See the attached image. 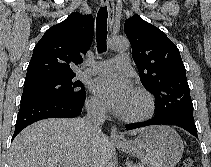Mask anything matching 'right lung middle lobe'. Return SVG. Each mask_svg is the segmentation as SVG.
Wrapping results in <instances>:
<instances>
[{"instance_id":"right-lung-middle-lobe-1","label":"right lung middle lobe","mask_w":211,"mask_h":167,"mask_svg":"<svg viewBox=\"0 0 211 167\" xmlns=\"http://www.w3.org/2000/svg\"><path fill=\"white\" fill-rule=\"evenodd\" d=\"M73 76H48L25 81L21 104L49 100H77L85 94L84 85Z\"/></svg>"}]
</instances>
